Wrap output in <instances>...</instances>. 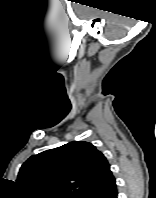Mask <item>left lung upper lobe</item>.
Wrapping results in <instances>:
<instances>
[{
  "instance_id": "obj_1",
  "label": "left lung upper lobe",
  "mask_w": 156,
  "mask_h": 198,
  "mask_svg": "<svg viewBox=\"0 0 156 198\" xmlns=\"http://www.w3.org/2000/svg\"><path fill=\"white\" fill-rule=\"evenodd\" d=\"M110 174L107 159L94 145L74 141L31 156L16 182L28 198H85Z\"/></svg>"
}]
</instances>
